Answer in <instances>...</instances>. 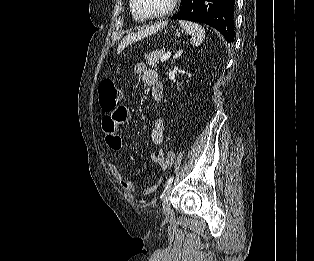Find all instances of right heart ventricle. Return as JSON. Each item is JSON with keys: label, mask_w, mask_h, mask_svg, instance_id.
Wrapping results in <instances>:
<instances>
[{"label": "right heart ventricle", "mask_w": 314, "mask_h": 261, "mask_svg": "<svg viewBox=\"0 0 314 261\" xmlns=\"http://www.w3.org/2000/svg\"><path fill=\"white\" fill-rule=\"evenodd\" d=\"M129 8H130V12H131L132 16H133L135 19H139V17L135 14V12H134L133 9H132L131 0H129Z\"/></svg>", "instance_id": "1"}]
</instances>
